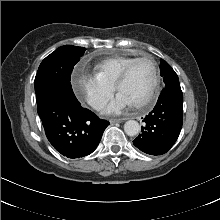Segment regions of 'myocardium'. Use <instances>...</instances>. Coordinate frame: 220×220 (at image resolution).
<instances>
[{"label":"myocardium","instance_id":"f54148a6","mask_svg":"<svg viewBox=\"0 0 220 220\" xmlns=\"http://www.w3.org/2000/svg\"><path fill=\"white\" fill-rule=\"evenodd\" d=\"M144 60H148L151 63L152 71H153V79H152V85H151V89H150L148 96L143 101L134 104L136 108H143L151 104L157 95L159 83H160V75H159L158 63L156 62V60L150 55H145V56L135 58L125 67V69L121 73L115 85L116 90L120 91L121 86L128 80L134 66L138 62H141Z\"/></svg>","mask_w":220,"mask_h":220}]
</instances>
